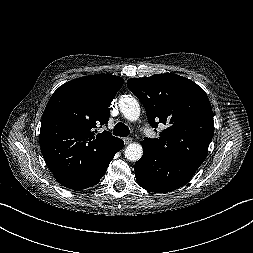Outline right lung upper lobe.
<instances>
[{
	"label": "right lung upper lobe",
	"instance_id": "1",
	"mask_svg": "<svg viewBox=\"0 0 253 253\" xmlns=\"http://www.w3.org/2000/svg\"><path fill=\"white\" fill-rule=\"evenodd\" d=\"M124 80L111 74L76 78L60 86L42 115L39 142L53 174L72 173L105 159L121 139L95 134L110 117V105Z\"/></svg>",
	"mask_w": 253,
	"mask_h": 253
}]
</instances>
